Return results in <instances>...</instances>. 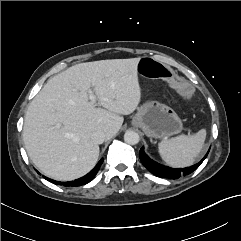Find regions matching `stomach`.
I'll return each instance as SVG.
<instances>
[{
    "label": "stomach",
    "instance_id": "0dacf381",
    "mask_svg": "<svg viewBox=\"0 0 241 241\" xmlns=\"http://www.w3.org/2000/svg\"><path fill=\"white\" fill-rule=\"evenodd\" d=\"M132 125L140 128L147 137L167 139L183 130L177 113L158 101L144 103L133 117Z\"/></svg>",
    "mask_w": 241,
    "mask_h": 241
}]
</instances>
